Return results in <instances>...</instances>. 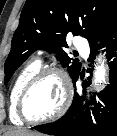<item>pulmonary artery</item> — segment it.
Wrapping results in <instances>:
<instances>
[{"instance_id": "e3ab8cb5", "label": "pulmonary artery", "mask_w": 117, "mask_h": 136, "mask_svg": "<svg viewBox=\"0 0 117 136\" xmlns=\"http://www.w3.org/2000/svg\"><path fill=\"white\" fill-rule=\"evenodd\" d=\"M76 47L77 49L84 55H88L89 53V47L86 43V41L82 38H78L76 41ZM38 55L42 54V51L37 52Z\"/></svg>"}]
</instances>
